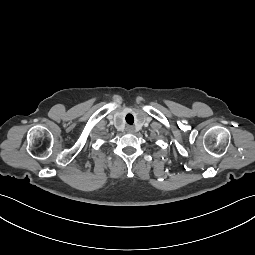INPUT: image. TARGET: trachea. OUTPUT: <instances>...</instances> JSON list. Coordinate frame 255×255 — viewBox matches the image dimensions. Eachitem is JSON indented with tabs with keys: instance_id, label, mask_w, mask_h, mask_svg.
Instances as JSON below:
<instances>
[{
	"instance_id": "1",
	"label": "trachea",
	"mask_w": 255,
	"mask_h": 255,
	"mask_svg": "<svg viewBox=\"0 0 255 255\" xmlns=\"http://www.w3.org/2000/svg\"><path fill=\"white\" fill-rule=\"evenodd\" d=\"M126 122L130 125H132L134 123V117L132 114H127L126 115Z\"/></svg>"
}]
</instances>
